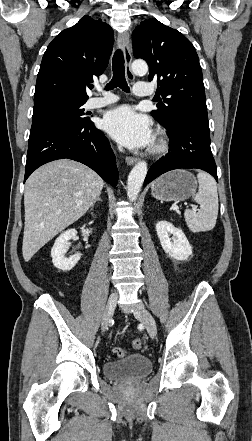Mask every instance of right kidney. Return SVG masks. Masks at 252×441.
<instances>
[{"mask_svg": "<svg viewBox=\"0 0 252 441\" xmlns=\"http://www.w3.org/2000/svg\"><path fill=\"white\" fill-rule=\"evenodd\" d=\"M92 231L84 229L82 231L83 236L86 238ZM77 235L75 229H69L55 240V243L51 249V257L53 265L61 271H70L80 260V254L76 253L69 258L65 257L68 249V241Z\"/></svg>", "mask_w": 252, "mask_h": 441, "instance_id": "ca27d5eb", "label": "right kidney"}]
</instances>
